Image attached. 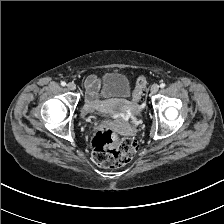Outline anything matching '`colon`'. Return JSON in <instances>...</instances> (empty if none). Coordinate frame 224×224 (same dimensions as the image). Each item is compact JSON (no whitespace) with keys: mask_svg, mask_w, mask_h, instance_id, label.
<instances>
[{"mask_svg":"<svg viewBox=\"0 0 224 224\" xmlns=\"http://www.w3.org/2000/svg\"><path fill=\"white\" fill-rule=\"evenodd\" d=\"M146 85V77L139 76L132 93L134 111H138L143 105ZM90 148L91 157L98 166L117 168L132 160L138 150V144L133 138L123 137L112 129H101L93 136Z\"/></svg>","mask_w":224,"mask_h":224,"instance_id":"obj_1","label":"colon"}]
</instances>
